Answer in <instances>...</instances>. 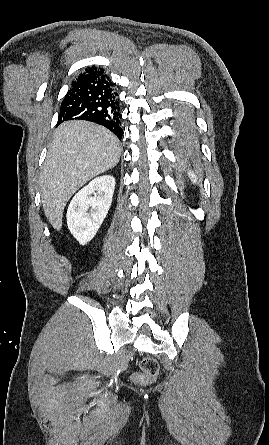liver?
Masks as SVG:
<instances>
[{
    "label": "liver",
    "mask_w": 269,
    "mask_h": 445,
    "mask_svg": "<svg viewBox=\"0 0 269 445\" xmlns=\"http://www.w3.org/2000/svg\"><path fill=\"white\" fill-rule=\"evenodd\" d=\"M120 156L119 140L102 126L73 120L55 130L40 173L43 210L54 229H61L64 208L73 194L115 167Z\"/></svg>",
    "instance_id": "obj_1"
}]
</instances>
